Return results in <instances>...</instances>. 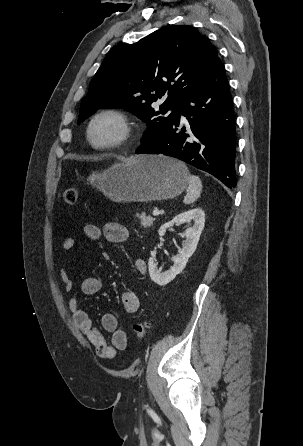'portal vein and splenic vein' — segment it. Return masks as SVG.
<instances>
[{"label": "portal vein and splenic vein", "instance_id": "portal-vein-and-splenic-vein-1", "mask_svg": "<svg viewBox=\"0 0 303 446\" xmlns=\"http://www.w3.org/2000/svg\"><path fill=\"white\" fill-rule=\"evenodd\" d=\"M160 213H161V212H160L158 209H155V210L153 211V215H154V216H158Z\"/></svg>", "mask_w": 303, "mask_h": 446}]
</instances>
